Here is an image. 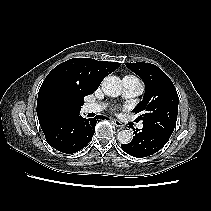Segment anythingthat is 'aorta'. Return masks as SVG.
Segmentation results:
<instances>
[{
	"label": "aorta",
	"instance_id": "obj_1",
	"mask_svg": "<svg viewBox=\"0 0 211 211\" xmlns=\"http://www.w3.org/2000/svg\"><path fill=\"white\" fill-rule=\"evenodd\" d=\"M102 90L105 95L110 97H117L121 94L122 83L119 77L117 76H107L102 81ZM117 139L122 144H128L132 140V132L128 129L121 130L117 134Z\"/></svg>",
	"mask_w": 211,
	"mask_h": 211
}]
</instances>
